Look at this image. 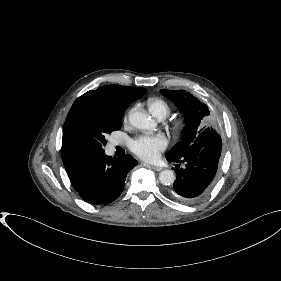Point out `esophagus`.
<instances>
[{
	"label": "esophagus",
	"mask_w": 281,
	"mask_h": 281,
	"mask_svg": "<svg viewBox=\"0 0 281 281\" xmlns=\"http://www.w3.org/2000/svg\"><path fill=\"white\" fill-rule=\"evenodd\" d=\"M152 169L156 170V171H161L163 168L162 167H159V166H153L151 165L150 166Z\"/></svg>",
	"instance_id": "34e87169"
}]
</instances>
